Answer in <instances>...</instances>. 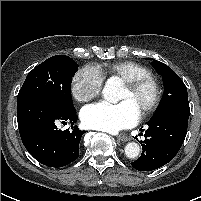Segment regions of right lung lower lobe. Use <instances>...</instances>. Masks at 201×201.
<instances>
[{
    "label": "right lung lower lobe",
    "mask_w": 201,
    "mask_h": 201,
    "mask_svg": "<svg viewBox=\"0 0 201 201\" xmlns=\"http://www.w3.org/2000/svg\"><path fill=\"white\" fill-rule=\"evenodd\" d=\"M21 140L27 151L49 167H63L79 156V142L85 131L71 126L72 131L58 130L56 123L77 121L75 108L63 109L45 99L27 101L17 106Z\"/></svg>",
    "instance_id": "right-lung-lower-lobe-1"
}]
</instances>
